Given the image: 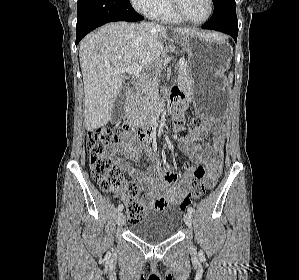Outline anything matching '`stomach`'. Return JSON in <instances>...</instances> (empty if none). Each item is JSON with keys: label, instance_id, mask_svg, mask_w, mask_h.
Instances as JSON below:
<instances>
[{"label": "stomach", "instance_id": "stomach-1", "mask_svg": "<svg viewBox=\"0 0 299 280\" xmlns=\"http://www.w3.org/2000/svg\"><path fill=\"white\" fill-rule=\"evenodd\" d=\"M173 38L188 53L190 91L196 112L208 118L222 116L228 101L224 72L230 65L232 47L217 33L179 34Z\"/></svg>", "mask_w": 299, "mask_h": 280}]
</instances>
